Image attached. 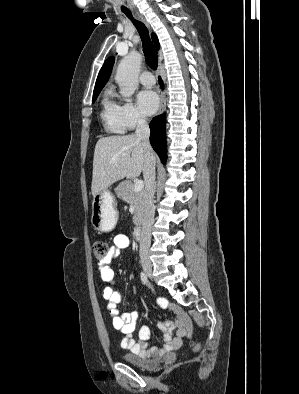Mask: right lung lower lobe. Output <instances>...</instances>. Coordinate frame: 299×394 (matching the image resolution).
I'll use <instances>...</instances> for the list:
<instances>
[{"instance_id":"right-lung-lower-lobe-1","label":"right lung lower lobe","mask_w":299,"mask_h":394,"mask_svg":"<svg viewBox=\"0 0 299 394\" xmlns=\"http://www.w3.org/2000/svg\"><path fill=\"white\" fill-rule=\"evenodd\" d=\"M163 85L162 80L159 79ZM150 143L163 163L166 162V118L165 114L157 116L150 123Z\"/></svg>"}]
</instances>
